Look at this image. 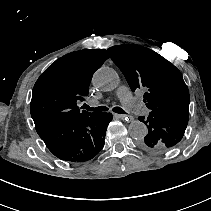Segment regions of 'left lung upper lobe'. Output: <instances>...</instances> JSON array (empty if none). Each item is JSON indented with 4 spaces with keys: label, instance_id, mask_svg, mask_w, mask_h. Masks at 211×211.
<instances>
[{
    "label": "left lung upper lobe",
    "instance_id": "5c2ea615",
    "mask_svg": "<svg viewBox=\"0 0 211 211\" xmlns=\"http://www.w3.org/2000/svg\"><path fill=\"white\" fill-rule=\"evenodd\" d=\"M131 90H142L149 109L139 117L148 128L141 146L154 153L176 147L184 136L190 96L181 72L155 51L139 45H117L108 49Z\"/></svg>",
    "mask_w": 211,
    "mask_h": 211
}]
</instances>
